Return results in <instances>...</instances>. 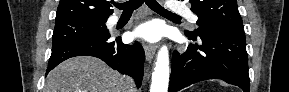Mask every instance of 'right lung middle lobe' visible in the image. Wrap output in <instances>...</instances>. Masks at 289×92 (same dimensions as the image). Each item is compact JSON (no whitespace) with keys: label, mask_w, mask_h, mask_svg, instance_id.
<instances>
[{"label":"right lung middle lobe","mask_w":289,"mask_h":92,"mask_svg":"<svg viewBox=\"0 0 289 92\" xmlns=\"http://www.w3.org/2000/svg\"><path fill=\"white\" fill-rule=\"evenodd\" d=\"M105 23L106 21L88 19L56 23L52 37V49L80 40H96L109 37L110 34Z\"/></svg>","instance_id":"right-lung-middle-lobe-1"}]
</instances>
